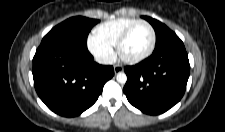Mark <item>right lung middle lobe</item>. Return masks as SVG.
I'll use <instances>...</instances> for the list:
<instances>
[{
    "instance_id": "dd1d6c3e",
    "label": "right lung middle lobe",
    "mask_w": 225,
    "mask_h": 132,
    "mask_svg": "<svg viewBox=\"0 0 225 132\" xmlns=\"http://www.w3.org/2000/svg\"><path fill=\"white\" fill-rule=\"evenodd\" d=\"M99 20L86 17H72L52 28L42 39L41 44L60 43L87 48V36Z\"/></svg>"
}]
</instances>
